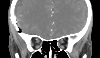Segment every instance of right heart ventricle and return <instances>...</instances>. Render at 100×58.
Returning a JSON list of instances; mask_svg holds the SVG:
<instances>
[{"label": "right heart ventricle", "instance_id": "right-heart-ventricle-1", "mask_svg": "<svg viewBox=\"0 0 100 58\" xmlns=\"http://www.w3.org/2000/svg\"><path fill=\"white\" fill-rule=\"evenodd\" d=\"M38 4H39L40 6H45V5H43V4L41 5V3H38Z\"/></svg>", "mask_w": 100, "mask_h": 58}]
</instances>
